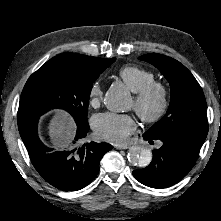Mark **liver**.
Here are the masks:
<instances>
[{
    "mask_svg": "<svg viewBox=\"0 0 221 221\" xmlns=\"http://www.w3.org/2000/svg\"><path fill=\"white\" fill-rule=\"evenodd\" d=\"M76 132L74 120L64 111H57L48 124V134L54 147H65Z\"/></svg>",
    "mask_w": 221,
    "mask_h": 221,
    "instance_id": "1",
    "label": "liver"
}]
</instances>
